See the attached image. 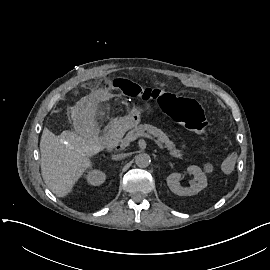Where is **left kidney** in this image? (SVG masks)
<instances>
[{
    "mask_svg": "<svg viewBox=\"0 0 270 270\" xmlns=\"http://www.w3.org/2000/svg\"><path fill=\"white\" fill-rule=\"evenodd\" d=\"M187 171L194 175L195 180L198 181L197 183H193L189 188L188 187H182L179 183L181 179L180 173H172L167 177V185L170 188V190L179 195V196H191L195 195L198 192H200L202 189L207 187V177L202 172L201 168L192 165L187 168Z\"/></svg>",
    "mask_w": 270,
    "mask_h": 270,
    "instance_id": "left-kidney-1",
    "label": "left kidney"
}]
</instances>
